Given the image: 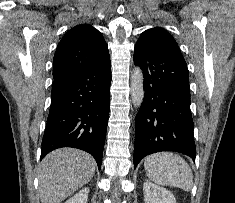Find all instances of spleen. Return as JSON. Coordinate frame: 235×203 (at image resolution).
<instances>
[{
	"label": "spleen",
	"mask_w": 235,
	"mask_h": 203,
	"mask_svg": "<svg viewBox=\"0 0 235 203\" xmlns=\"http://www.w3.org/2000/svg\"><path fill=\"white\" fill-rule=\"evenodd\" d=\"M144 168L150 180L162 185L190 191L193 173L189 164L179 155L161 152L147 156Z\"/></svg>",
	"instance_id": "spleen-1"
}]
</instances>
